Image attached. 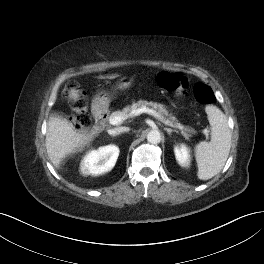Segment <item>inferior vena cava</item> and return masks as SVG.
<instances>
[{
  "label": "inferior vena cava",
  "mask_w": 264,
  "mask_h": 264,
  "mask_svg": "<svg viewBox=\"0 0 264 264\" xmlns=\"http://www.w3.org/2000/svg\"><path fill=\"white\" fill-rule=\"evenodd\" d=\"M128 130L129 129L126 127H118V128L108 130V134L115 136V135H118L120 133L127 132Z\"/></svg>",
  "instance_id": "1"
}]
</instances>
